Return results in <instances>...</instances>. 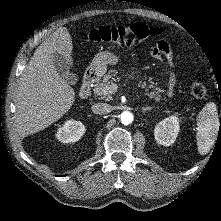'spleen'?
<instances>
[{
	"label": "spleen",
	"instance_id": "obj_1",
	"mask_svg": "<svg viewBox=\"0 0 221 221\" xmlns=\"http://www.w3.org/2000/svg\"><path fill=\"white\" fill-rule=\"evenodd\" d=\"M219 130V117L215 103H208L197 117V146L201 155L213 147Z\"/></svg>",
	"mask_w": 221,
	"mask_h": 221
}]
</instances>
